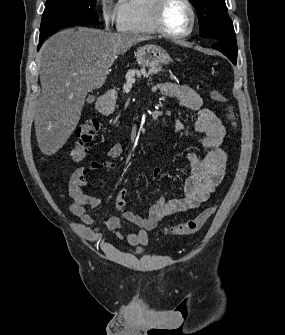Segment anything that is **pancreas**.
<instances>
[{"instance_id":"1","label":"pancreas","mask_w":285,"mask_h":335,"mask_svg":"<svg viewBox=\"0 0 285 335\" xmlns=\"http://www.w3.org/2000/svg\"><path fill=\"white\" fill-rule=\"evenodd\" d=\"M161 72V66H157V68H150L148 72L146 70H134L131 73L126 75V80L123 84L124 91L134 90L136 85L139 82L138 78H143V76H147V79H150V76H154V74H158Z\"/></svg>"}]
</instances>
